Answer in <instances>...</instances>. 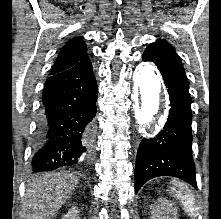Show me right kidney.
Returning a JSON list of instances; mask_svg holds the SVG:
<instances>
[{
	"label": "right kidney",
	"mask_w": 221,
	"mask_h": 219,
	"mask_svg": "<svg viewBox=\"0 0 221 219\" xmlns=\"http://www.w3.org/2000/svg\"><path fill=\"white\" fill-rule=\"evenodd\" d=\"M78 213V208L72 207L69 209L68 213L62 217V219H80Z\"/></svg>",
	"instance_id": "obj_1"
}]
</instances>
